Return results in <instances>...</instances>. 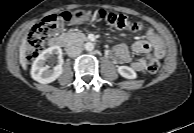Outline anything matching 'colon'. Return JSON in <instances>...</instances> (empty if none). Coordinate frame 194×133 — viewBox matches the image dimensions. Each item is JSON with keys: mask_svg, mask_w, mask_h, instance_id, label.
Segmentation results:
<instances>
[{"mask_svg": "<svg viewBox=\"0 0 194 133\" xmlns=\"http://www.w3.org/2000/svg\"><path fill=\"white\" fill-rule=\"evenodd\" d=\"M96 15L108 25L121 29H131L132 22L124 14L99 10ZM70 20L69 13H61L46 17L42 22L34 26L28 36L26 44V58L31 62L46 47L49 41L59 32V30ZM159 62L152 61L147 67L149 74H155L159 70Z\"/></svg>", "mask_w": 194, "mask_h": 133, "instance_id": "obj_1", "label": "colon"}]
</instances>
